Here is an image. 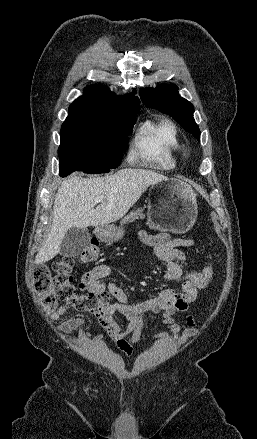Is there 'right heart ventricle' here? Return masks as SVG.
<instances>
[{
    "label": "right heart ventricle",
    "instance_id": "1",
    "mask_svg": "<svg viewBox=\"0 0 257 439\" xmlns=\"http://www.w3.org/2000/svg\"><path fill=\"white\" fill-rule=\"evenodd\" d=\"M134 147L144 162L168 170L175 167V154L183 143L176 126L163 119L142 125L136 133Z\"/></svg>",
    "mask_w": 257,
    "mask_h": 439
}]
</instances>
